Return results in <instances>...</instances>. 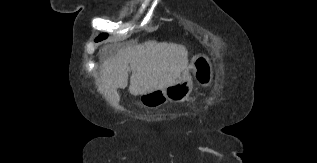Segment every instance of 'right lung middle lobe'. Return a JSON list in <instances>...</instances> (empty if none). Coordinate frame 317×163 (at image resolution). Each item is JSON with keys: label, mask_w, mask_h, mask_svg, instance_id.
<instances>
[{"label": "right lung middle lobe", "mask_w": 317, "mask_h": 163, "mask_svg": "<svg viewBox=\"0 0 317 163\" xmlns=\"http://www.w3.org/2000/svg\"><path fill=\"white\" fill-rule=\"evenodd\" d=\"M107 36H108L107 33L101 34L100 36H98V37L95 39V41H96V42L102 41V40L106 39Z\"/></svg>", "instance_id": "1"}]
</instances>
